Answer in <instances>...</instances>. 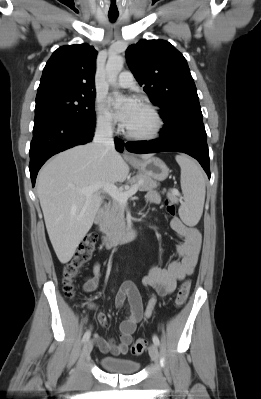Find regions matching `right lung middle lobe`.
<instances>
[{"label": "right lung middle lobe", "instance_id": "obj_1", "mask_svg": "<svg viewBox=\"0 0 261 399\" xmlns=\"http://www.w3.org/2000/svg\"><path fill=\"white\" fill-rule=\"evenodd\" d=\"M95 95L53 94L36 98L35 120L64 116L88 126L95 125Z\"/></svg>", "mask_w": 261, "mask_h": 399}]
</instances>
